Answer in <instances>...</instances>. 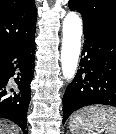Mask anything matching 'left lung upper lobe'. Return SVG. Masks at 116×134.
<instances>
[{"label":"left lung upper lobe","instance_id":"left-lung-upper-lobe-1","mask_svg":"<svg viewBox=\"0 0 116 134\" xmlns=\"http://www.w3.org/2000/svg\"><path fill=\"white\" fill-rule=\"evenodd\" d=\"M70 10H77L83 25H100L116 30V0H69Z\"/></svg>","mask_w":116,"mask_h":134}]
</instances>
